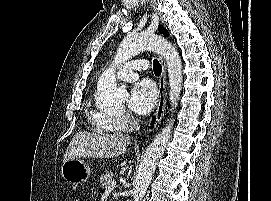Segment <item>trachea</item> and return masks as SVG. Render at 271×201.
I'll return each mask as SVG.
<instances>
[{"mask_svg":"<svg viewBox=\"0 0 271 201\" xmlns=\"http://www.w3.org/2000/svg\"><path fill=\"white\" fill-rule=\"evenodd\" d=\"M153 71L156 76H160L162 72V66L157 59L153 60Z\"/></svg>","mask_w":271,"mask_h":201,"instance_id":"obj_1","label":"trachea"}]
</instances>
